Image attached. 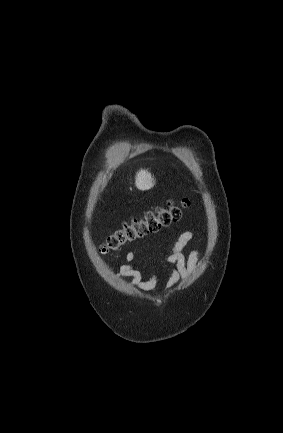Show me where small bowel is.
I'll use <instances>...</instances> for the list:
<instances>
[{
	"mask_svg": "<svg viewBox=\"0 0 283 433\" xmlns=\"http://www.w3.org/2000/svg\"><path fill=\"white\" fill-rule=\"evenodd\" d=\"M196 243L195 235L186 231L179 235L173 246L163 255V261L169 273V279L166 284L167 289L173 288L179 281L187 279L196 269L200 250L194 246L190 254L186 257L183 249L188 244ZM126 263L122 264L118 271L119 277L131 278V285L142 290L149 291L153 289L158 282V274L153 271L150 278L142 279L141 272L136 268V252L130 251L125 255Z\"/></svg>",
	"mask_w": 283,
	"mask_h": 433,
	"instance_id": "1",
	"label": "small bowel"
}]
</instances>
